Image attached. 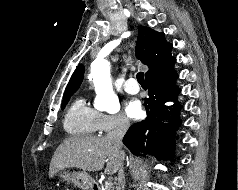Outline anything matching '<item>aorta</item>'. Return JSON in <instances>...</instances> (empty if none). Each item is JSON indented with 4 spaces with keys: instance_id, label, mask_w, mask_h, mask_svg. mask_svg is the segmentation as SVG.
Returning a JSON list of instances; mask_svg holds the SVG:
<instances>
[{
    "instance_id": "aorta-1",
    "label": "aorta",
    "mask_w": 238,
    "mask_h": 190,
    "mask_svg": "<svg viewBox=\"0 0 238 190\" xmlns=\"http://www.w3.org/2000/svg\"><path fill=\"white\" fill-rule=\"evenodd\" d=\"M91 75L97 93V108L108 113H117L120 110V104L113 91L108 61H94L91 67Z\"/></svg>"
}]
</instances>
